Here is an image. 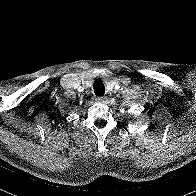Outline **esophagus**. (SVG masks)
<instances>
[{"mask_svg": "<svg viewBox=\"0 0 196 196\" xmlns=\"http://www.w3.org/2000/svg\"><path fill=\"white\" fill-rule=\"evenodd\" d=\"M104 99H105V98H104L103 96H97V97H95V100H96L97 102H102Z\"/></svg>", "mask_w": 196, "mask_h": 196, "instance_id": "esophagus-1", "label": "esophagus"}]
</instances>
